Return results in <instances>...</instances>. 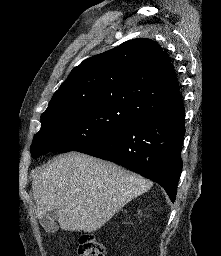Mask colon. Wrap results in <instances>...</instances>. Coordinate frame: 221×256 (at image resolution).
Instances as JSON below:
<instances>
[{
	"mask_svg": "<svg viewBox=\"0 0 221 256\" xmlns=\"http://www.w3.org/2000/svg\"><path fill=\"white\" fill-rule=\"evenodd\" d=\"M79 256H105L104 245L91 234H83L78 241Z\"/></svg>",
	"mask_w": 221,
	"mask_h": 256,
	"instance_id": "colon-1",
	"label": "colon"
}]
</instances>
